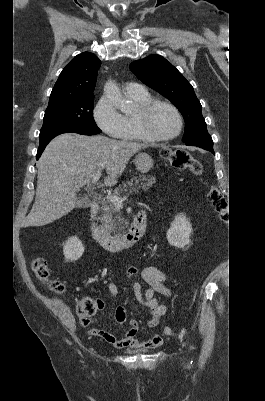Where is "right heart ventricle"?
I'll list each match as a JSON object with an SVG mask.
<instances>
[{
	"instance_id": "1",
	"label": "right heart ventricle",
	"mask_w": 265,
	"mask_h": 401,
	"mask_svg": "<svg viewBox=\"0 0 265 401\" xmlns=\"http://www.w3.org/2000/svg\"><path fill=\"white\" fill-rule=\"evenodd\" d=\"M126 95L130 99V101H132L136 105L137 110L131 114L125 112L123 113V129L121 133L116 136L118 140H114L110 143H118L131 140H144L137 125V113L140 107L152 101V97L145 90L142 93H126Z\"/></svg>"
}]
</instances>
